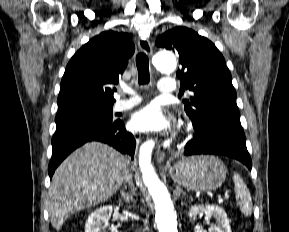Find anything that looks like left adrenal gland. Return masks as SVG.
Listing matches in <instances>:
<instances>
[{
  "label": "left adrenal gland",
  "mask_w": 289,
  "mask_h": 232,
  "mask_svg": "<svg viewBox=\"0 0 289 232\" xmlns=\"http://www.w3.org/2000/svg\"><path fill=\"white\" fill-rule=\"evenodd\" d=\"M173 194L175 198H178L181 194L185 195V192H183V190L179 186H176Z\"/></svg>",
  "instance_id": "obj_1"
}]
</instances>
